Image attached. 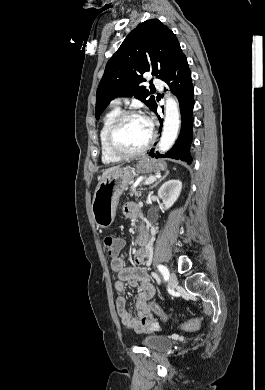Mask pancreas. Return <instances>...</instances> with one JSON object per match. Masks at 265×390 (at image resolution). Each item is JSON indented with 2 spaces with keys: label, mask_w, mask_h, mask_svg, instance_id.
<instances>
[{
  "label": "pancreas",
  "mask_w": 265,
  "mask_h": 390,
  "mask_svg": "<svg viewBox=\"0 0 265 390\" xmlns=\"http://www.w3.org/2000/svg\"><path fill=\"white\" fill-rule=\"evenodd\" d=\"M141 190H142V188L136 189L135 187H131L130 188V195L131 196L135 195V197L138 198L141 195Z\"/></svg>",
  "instance_id": "cf45deb5"
}]
</instances>
